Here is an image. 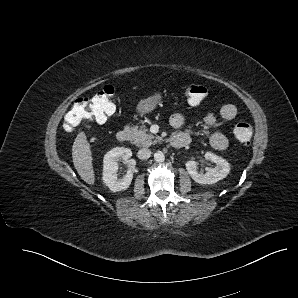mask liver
Masks as SVG:
<instances>
[{
  "mask_svg": "<svg viewBox=\"0 0 298 298\" xmlns=\"http://www.w3.org/2000/svg\"><path fill=\"white\" fill-rule=\"evenodd\" d=\"M72 160L81 179L89 185L95 183L90 144L84 132L78 133L72 146Z\"/></svg>",
  "mask_w": 298,
  "mask_h": 298,
  "instance_id": "obj_1",
  "label": "liver"
}]
</instances>
